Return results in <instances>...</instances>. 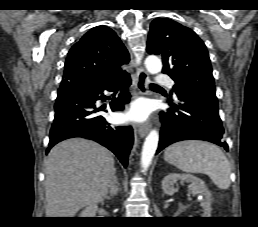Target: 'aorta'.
Returning <instances> with one entry per match:
<instances>
[{
	"mask_svg": "<svg viewBox=\"0 0 258 227\" xmlns=\"http://www.w3.org/2000/svg\"><path fill=\"white\" fill-rule=\"evenodd\" d=\"M145 66L149 73L157 74L162 69V62L158 57L151 55L146 58ZM158 141V132L156 130H151L142 147L141 166L143 171H146L150 166L158 146Z\"/></svg>",
	"mask_w": 258,
	"mask_h": 227,
	"instance_id": "762f6f07",
	"label": "aorta"
}]
</instances>
